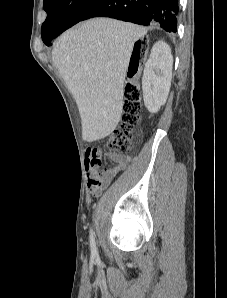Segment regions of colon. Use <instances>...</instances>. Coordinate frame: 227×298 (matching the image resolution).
<instances>
[{
    "label": "colon",
    "instance_id": "5ec220e1",
    "mask_svg": "<svg viewBox=\"0 0 227 298\" xmlns=\"http://www.w3.org/2000/svg\"><path fill=\"white\" fill-rule=\"evenodd\" d=\"M139 59L133 60L130 64V77L136 72ZM124 104L121 127L113 131L107 138L106 146L111 154H127L132 148V130L139 119L140 100L142 97L139 86L128 81L124 91ZM99 181H94L91 186L97 187Z\"/></svg>",
    "mask_w": 227,
    "mask_h": 298
}]
</instances>
